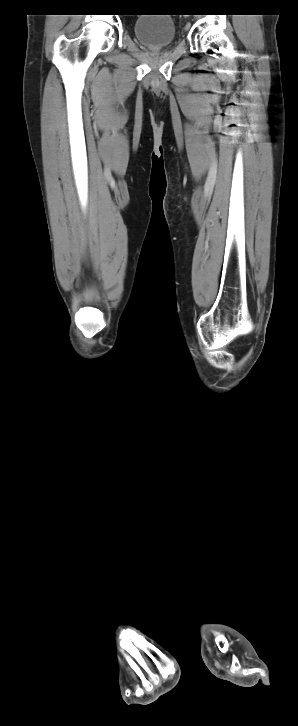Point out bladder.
Masks as SVG:
<instances>
[{
	"label": "bladder",
	"instance_id": "obj_1",
	"mask_svg": "<svg viewBox=\"0 0 298 726\" xmlns=\"http://www.w3.org/2000/svg\"><path fill=\"white\" fill-rule=\"evenodd\" d=\"M133 33L146 47L161 49L174 42L176 27L166 14H141L133 24Z\"/></svg>",
	"mask_w": 298,
	"mask_h": 726
}]
</instances>
